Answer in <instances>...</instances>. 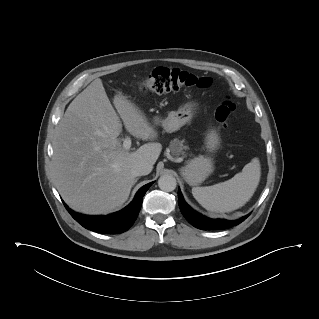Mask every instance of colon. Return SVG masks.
<instances>
[{
	"label": "colon",
	"mask_w": 319,
	"mask_h": 319,
	"mask_svg": "<svg viewBox=\"0 0 319 319\" xmlns=\"http://www.w3.org/2000/svg\"><path fill=\"white\" fill-rule=\"evenodd\" d=\"M211 84L208 77H198L177 68L157 67L139 84L143 93H170L190 88H207ZM234 111L230 100L224 101L215 111V119L221 127H225L228 118Z\"/></svg>",
	"instance_id": "5ec220e1"
}]
</instances>
